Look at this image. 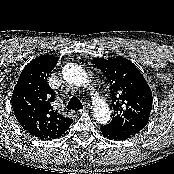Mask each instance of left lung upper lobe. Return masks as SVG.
Segmentation results:
<instances>
[{
  "mask_svg": "<svg viewBox=\"0 0 174 174\" xmlns=\"http://www.w3.org/2000/svg\"><path fill=\"white\" fill-rule=\"evenodd\" d=\"M93 63L110 83L114 113L107 125L135 136L148 123L152 109V92L146 80L131 61L120 56L94 58Z\"/></svg>",
  "mask_w": 174,
  "mask_h": 174,
  "instance_id": "5c2ea615",
  "label": "left lung upper lobe"
}]
</instances>
